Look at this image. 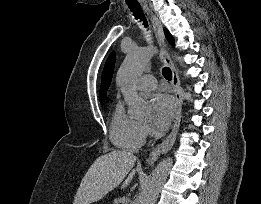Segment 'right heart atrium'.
<instances>
[{
    "label": "right heart atrium",
    "instance_id": "right-heart-atrium-1",
    "mask_svg": "<svg viewBox=\"0 0 261 204\" xmlns=\"http://www.w3.org/2000/svg\"><path fill=\"white\" fill-rule=\"evenodd\" d=\"M151 133V130L147 124H142V134L144 139L147 138Z\"/></svg>",
    "mask_w": 261,
    "mask_h": 204
}]
</instances>
